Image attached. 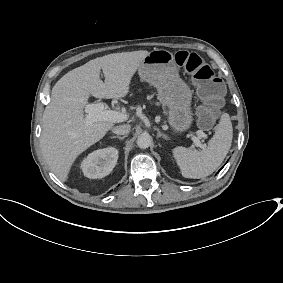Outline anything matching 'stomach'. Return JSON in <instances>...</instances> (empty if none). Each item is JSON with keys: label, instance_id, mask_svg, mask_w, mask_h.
Instances as JSON below:
<instances>
[{"label": "stomach", "instance_id": "stomach-1", "mask_svg": "<svg viewBox=\"0 0 283 283\" xmlns=\"http://www.w3.org/2000/svg\"><path fill=\"white\" fill-rule=\"evenodd\" d=\"M141 80L158 90L160 101L169 108L168 121L176 132H184L192 123V91L179 77L174 56L165 49H155L138 67Z\"/></svg>", "mask_w": 283, "mask_h": 283}]
</instances>
